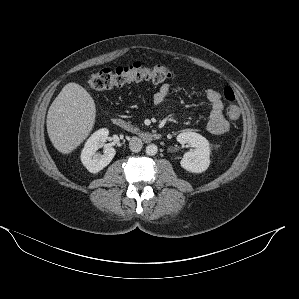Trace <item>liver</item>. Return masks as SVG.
<instances>
[{"instance_id": "liver-1", "label": "liver", "mask_w": 299, "mask_h": 299, "mask_svg": "<svg viewBox=\"0 0 299 299\" xmlns=\"http://www.w3.org/2000/svg\"><path fill=\"white\" fill-rule=\"evenodd\" d=\"M96 117L93 98L79 84H66L47 114V132L62 154L73 152L90 134Z\"/></svg>"}]
</instances>
